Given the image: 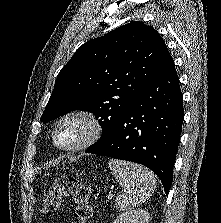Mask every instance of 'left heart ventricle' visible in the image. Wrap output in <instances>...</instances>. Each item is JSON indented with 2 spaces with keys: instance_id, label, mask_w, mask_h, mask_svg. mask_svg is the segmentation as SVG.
Listing matches in <instances>:
<instances>
[{
  "instance_id": "1",
  "label": "left heart ventricle",
  "mask_w": 221,
  "mask_h": 223,
  "mask_svg": "<svg viewBox=\"0 0 221 223\" xmlns=\"http://www.w3.org/2000/svg\"><path fill=\"white\" fill-rule=\"evenodd\" d=\"M87 132V124L81 118L66 120L58 129L56 140L61 145H71L82 140Z\"/></svg>"
}]
</instances>
